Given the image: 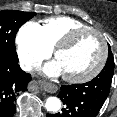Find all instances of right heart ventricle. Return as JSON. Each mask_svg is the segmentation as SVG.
Segmentation results:
<instances>
[{
    "mask_svg": "<svg viewBox=\"0 0 117 117\" xmlns=\"http://www.w3.org/2000/svg\"><path fill=\"white\" fill-rule=\"evenodd\" d=\"M84 27L89 26L69 16L50 17L40 25L43 40L50 49L70 31Z\"/></svg>",
    "mask_w": 117,
    "mask_h": 117,
    "instance_id": "e07e8e85",
    "label": "right heart ventricle"
}]
</instances>
